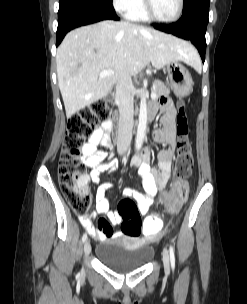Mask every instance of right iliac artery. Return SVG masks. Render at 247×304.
Masks as SVG:
<instances>
[{"instance_id":"82829eb1","label":"right iliac artery","mask_w":247,"mask_h":304,"mask_svg":"<svg viewBox=\"0 0 247 304\" xmlns=\"http://www.w3.org/2000/svg\"><path fill=\"white\" fill-rule=\"evenodd\" d=\"M86 239H87V233H85V234L83 235V237H82V242H85Z\"/></svg>"}]
</instances>
